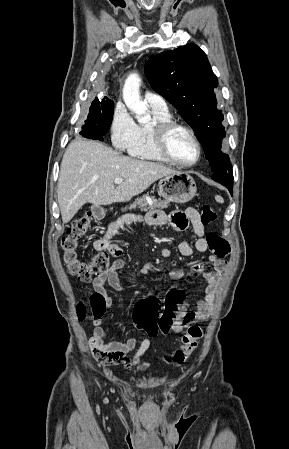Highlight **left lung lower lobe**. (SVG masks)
<instances>
[{
  "label": "left lung lower lobe",
  "instance_id": "obj_1",
  "mask_svg": "<svg viewBox=\"0 0 289 449\" xmlns=\"http://www.w3.org/2000/svg\"><path fill=\"white\" fill-rule=\"evenodd\" d=\"M224 186H226L228 188V190L230 191L231 195H233V184L232 182H226L223 183Z\"/></svg>",
  "mask_w": 289,
  "mask_h": 449
}]
</instances>
